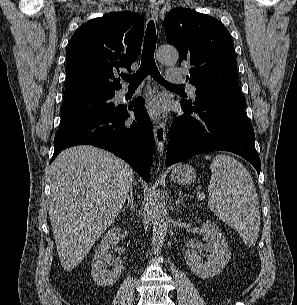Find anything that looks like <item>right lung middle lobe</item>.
Returning a JSON list of instances; mask_svg holds the SVG:
<instances>
[{"label": "right lung middle lobe", "instance_id": "right-lung-middle-lobe-1", "mask_svg": "<svg viewBox=\"0 0 297 305\" xmlns=\"http://www.w3.org/2000/svg\"><path fill=\"white\" fill-rule=\"evenodd\" d=\"M115 92L97 93L64 101L59 129L90 114L114 111L115 106L111 99Z\"/></svg>", "mask_w": 297, "mask_h": 305}]
</instances>
